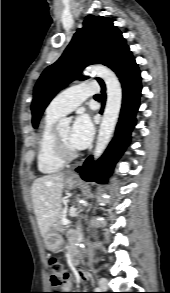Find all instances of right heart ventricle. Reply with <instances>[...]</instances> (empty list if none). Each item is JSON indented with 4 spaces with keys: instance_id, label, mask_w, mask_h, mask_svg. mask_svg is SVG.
I'll use <instances>...</instances> for the list:
<instances>
[{
    "instance_id": "1",
    "label": "right heart ventricle",
    "mask_w": 170,
    "mask_h": 293,
    "mask_svg": "<svg viewBox=\"0 0 170 293\" xmlns=\"http://www.w3.org/2000/svg\"><path fill=\"white\" fill-rule=\"evenodd\" d=\"M59 117L46 112L39 128L37 138V167L44 174L57 172L65 164V161L56 157L52 147L54 124Z\"/></svg>"
}]
</instances>
